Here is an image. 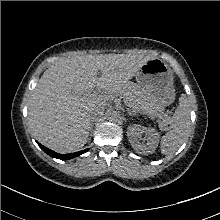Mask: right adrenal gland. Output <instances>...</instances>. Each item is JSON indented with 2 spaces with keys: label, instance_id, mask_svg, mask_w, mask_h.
<instances>
[{
  "label": "right adrenal gland",
  "instance_id": "obj_1",
  "mask_svg": "<svg viewBox=\"0 0 220 220\" xmlns=\"http://www.w3.org/2000/svg\"><path fill=\"white\" fill-rule=\"evenodd\" d=\"M94 123H91L90 132L93 130Z\"/></svg>",
  "mask_w": 220,
  "mask_h": 220
}]
</instances>
